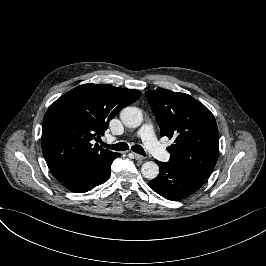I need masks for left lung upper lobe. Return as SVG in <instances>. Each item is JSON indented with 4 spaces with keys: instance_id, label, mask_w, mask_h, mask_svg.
Returning a JSON list of instances; mask_svg holds the SVG:
<instances>
[{
    "instance_id": "5c2ea615",
    "label": "left lung upper lobe",
    "mask_w": 266,
    "mask_h": 266,
    "mask_svg": "<svg viewBox=\"0 0 266 266\" xmlns=\"http://www.w3.org/2000/svg\"><path fill=\"white\" fill-rule=\"evenodd\" d=\"M145 95L160 126V136L174 139L169 163L207 178L219 155V134L213 114L185 93L166 89Z\"/></svg>"
}]
</instances>
